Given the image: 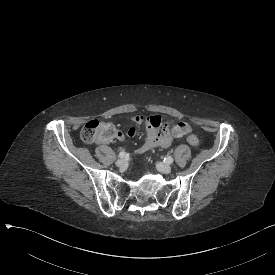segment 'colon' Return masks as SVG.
I'll return each instance as SVG.
<instances>
[{
	"label": "colon",
	"instance_id": "5ec220e1",
	"mask_svg": "<svg viewBox=\"0 0 275 275\" xmlns=\"http://www.w3.org/2000/svg\"><path fill=\"white\" fill-rule=\"evenodd\" d=\"M119 129L109 122L90 120L82 127L80 136L86 143L108 142L117 139L116 134ZM187 142L192 146H197L199 139L196 135L189 133Z\"/></svg>",
	"mask_w": 275,
	"mask_h": 275
}]
</instances>
